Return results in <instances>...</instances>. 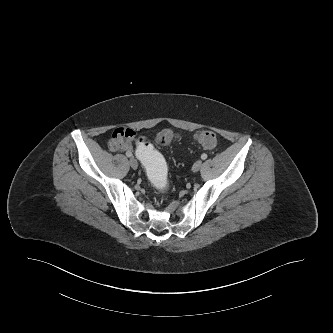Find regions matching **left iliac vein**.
Returning <instances> with one entry per match:
<instances>
[{"mask_svg":"<svg viewBox=\"0 0 333 333\" xmlns=\"http://www.w3.org/2000/svg\"><path fill=\"white\" fill-rule=\"evenodd\" d=\"M201 166H202V161L201 160L196 161L192 166L193 172L199 171Z\"/></svg>","mask_w":333,"mask_h":333,"instance_id":"left-iliac-vein-1","label":"left iliac vein"}]
</instances>
